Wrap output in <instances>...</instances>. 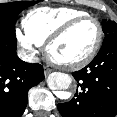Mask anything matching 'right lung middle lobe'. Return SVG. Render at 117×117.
Listing matches in <instances>:
<instances>
[{"label": "right lung middle lobe", "mask_w": 117, "mask_h": 117, "mask_svg": "<svg viewBox=\"0 0 117 117\" xmlns=\"http://www.w3.org/2000/svg\"><path fill=\"white\" fill-rule=\"evenodd\" d=\"M36 4L35 1H18L0 4V25H7L15 28L18 14L25 8Z\"/></svg>", "instance_id": "1"}]
</instances>
